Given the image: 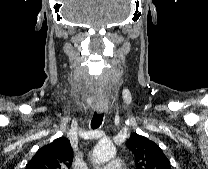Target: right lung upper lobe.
<instances>
[{
	"label": "right lung upper lobe",
	"instance_id": "cb5924a9",
	"mask_svg": "<svg viewBox=\"0 0 208 169\" xmlns=\"http://www.w3.org/2000/svg\"><path fill=\"white\" fill-rule=\"evenodd\" d=\"M72 161L73 151L70 141L60 137L40 148L25 169H69Z\"/></svg>",
	"mask_w": 208,
	"mask_h": 169
}]
</instances>
